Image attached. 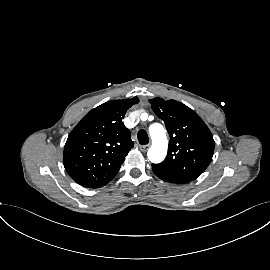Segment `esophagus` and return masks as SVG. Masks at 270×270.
<instances>
[{
	"label": "esophagus",
	"instance_id": "esophagus-1",
	"mask_svg": "<svg viewBox=\"0 0 270 270\" xmlns=\"http://www.w3.org/2000/svg\"><path fill=\"white\" fill-rule=\"evenodd\" d=\"M149 147H150V144H148V145H141L140 146V150L143 151V152H145V151H147L149 149Z\"/></svg>",
	"mask_w": 270,
	"mask_h": 270
}]
</instances>
